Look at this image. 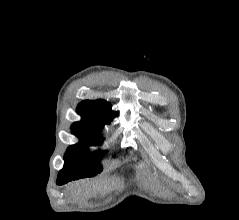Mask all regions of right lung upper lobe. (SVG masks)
Here are the masks:
<instances>
[{
  "instance_id": "1",
  "label": "right lung upper lobe",
  "mask_w": 239,
  "mask_h": 220,
  "mask_svg": "<svg viewBox=\"0 0 239 220\" xmlns=\"http://www.w3.org/2000/svg\"><path fill=\"white\" fill-rule=\"evenodd\" d=\"M77 113L81 115L82 120L73 123L72 126L100 130L105 124L110 123L114 112L111 111V106L104 100H85L77 107Z\"/></svg>"
}]
</instances>
